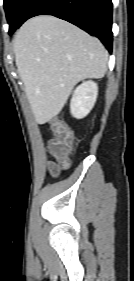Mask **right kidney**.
<instances>
[{"mask_svg": "<svg viewBox=\"0 0 134 281\" xmlns=\"http://www.w3.org/2000/svg\"><path fill=\"white\" fill-rule=\"evenodd\" d=\"M98 95V86L93 81L83 82L73 94L70 110L73 117L84 118L94 107Z\"/></svg>", "mask_w": 134, "mask_h": 281, "instance_id": "ca27d5eb", "label": "right kidney"}]
</instances>
